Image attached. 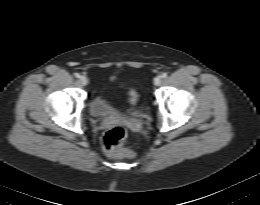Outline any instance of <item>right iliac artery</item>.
Here are the masks:
<instances>
[{"instance_id": "82829eb1", "label": "right iliac artery", "mask_w": 260, "mask_h": 205, "mask_svg": "<svg viewBox=\"0 0 260 205\" xmlns=\"http://www.w3.org/2000/svg\"><path fill=\"white\" fill-rule=\"evenodd\" d=\"M76 78H80V74L79 73H75L74 74Z\"/></svg>"}]
</instances>
